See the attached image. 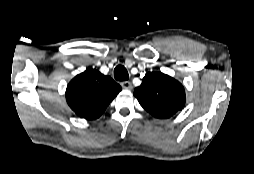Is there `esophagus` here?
<instances>
[{"instance_id":"1","label":"esophagus","mask_w":254,"mask_h":174,"mask_svg":"<svg viewBox=\"0 0 254 174\" xmlns=\"http://www.w3.org/2000/svg\"><path fill=\"white\" fill-rule=\"evenodd\" d=\"M121 86H122V88L127 89V90L132 89V84L129 81H123V82H121Z\"/></svg>"}]
</instances>
